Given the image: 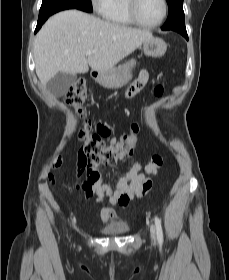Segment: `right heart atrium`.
Wrapping results in <instances>:
<instances>
[{"mask_svg": "<svg viewBox=\"0 0 229 280\" xmlns=\"http://www.w3.org/2000/svg\"><path fill=\"white\" fill-rule=\"evenodd\" d=\"M90 2L94 10L102 16L106 13V11L112 4V0H90Z\"/></svg>", "mask_w": 229, "mask_h": 280, "instance_id": "d8ad5b80", "label": "right heart atrium"}]
</instances>
